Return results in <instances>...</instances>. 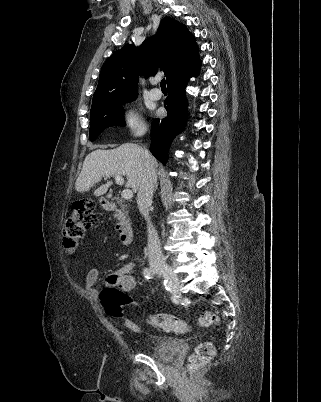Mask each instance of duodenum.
<instances>
[{"mask_svg": "<svg viewBox=\"0 0 321 402\" xmlns=\"http://www.w3.org/2000/svg\"><path fill=\"white\" fill-rule=\"evenodd\" d=\"M100 203L107 211H113L117 208L116 202L107 198H101ZM116 230L122 243L127 245L131 242L134 231L128 222L123 220L119 221L116 224Z\"/></svg>", "mask_w": 321, "mask_h": 402, "instance_id": "obj_1", "label": "duodenum"}]
</instances>
